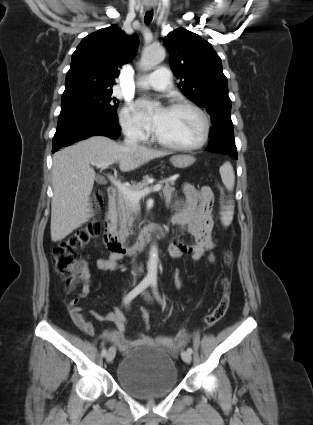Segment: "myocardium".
Masks as SVG:
<instances>
[{
    "label": "myocardium",
    "instance_id": "f54148a6",
    "mask_svg": "<svg viewBox=\"0 0 313 425\" xmlns=\"http://www.w3.org/2000/svg\"><path fill=\"white\" fill-rule=\"evenodd\" d=\"M169 109H188L193 112H195L202 121V135L199 141L192 145H178L169 143L167 141L162 140L157 134H154L153 138L156 143H158L160 146L176 150V151H182V152H192L201 149L208 141L211 131V125H210V119L206 112L200 108L198 105L189 102V101H180L173 103Z\"/></svg>",
    "mask_w": 313,
    "mask_h": 425
}]
</instances>
